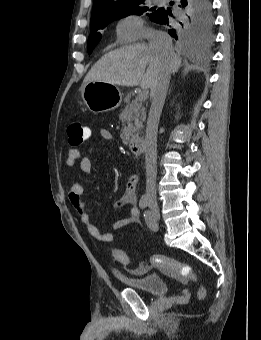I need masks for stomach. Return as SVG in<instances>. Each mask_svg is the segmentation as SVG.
Listing matches in <instances>:
<instances>
[{"label":"stomach","instance_id":"stomach-1","mask_svg":"<svg viewBox=\"0 0 261 340\" xmlns=\"http://www.w3.org/2000/svg\"><path fill=\"white\" fill-rule=\"evenodd\" d=\"M82 99L93 113L109 112L120 105L122 93L116 85L90 81L83 86Z\"/></svg>","mask_w":261,"mask_h":340}]
</instances>
